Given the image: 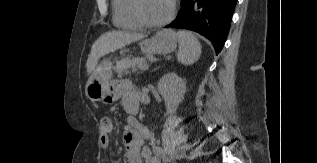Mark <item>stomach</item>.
Instances as JSON below:
<instances>
[{
	"label": "stomach",
	"instance_id": "obj_1",
	"mask_svg": "<svg viewBox=\"0 0 317 163\" xmlns=\"http://www.w3.org/2000/svg\"><path fill=\"white\" fill-rule=\"evenodd\" d=\"M177 35L174 31L163 29L158 31L150 39L140 42L141 51L144 54L171 53L177 46ZM111 64L104 62L97 66L89 78L85 93L92 102L104 101L109 90V83L112 75Z\"/></svg>",
	"mask_w": 317,
	"mask_h": 163
}]
</instances>
